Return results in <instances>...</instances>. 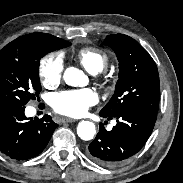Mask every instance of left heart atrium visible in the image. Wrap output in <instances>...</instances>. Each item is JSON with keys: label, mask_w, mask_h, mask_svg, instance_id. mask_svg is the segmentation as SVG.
<instances>
[{"label": "left heart atrium", "mask_w": 183, "mask_h": 183, "mask_svg": "<svg viewBox=\"0 0 183 183\" xmlns=\"http://www.w3.org/2000/svg\"><path fill=\"white\" fill-rule=\"evenodd\" d=\"M98 101L97 94L90 88L61 91L52 96L51 105L55 112L71 117L84 114Z\"/></svg>", "instance_id": "1"}]
</instances>
